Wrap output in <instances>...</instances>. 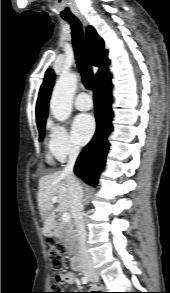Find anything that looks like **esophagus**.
Instances as JSON below:
<instances>
[{"label": "esophagus", "mask_w": 170, "mask_h": 293, "mask_svg": "<svg viewBox=\"0 0 170 293\" xmlns=\"http://www.w3.org/2000/svg\"><path fill=\"white\" fill-rule=\"evenodd\" d=\"M79 18L81 19V21H82L84 24H86V20L84 19L83 16H79Z\"/></svg>", "instance_id": "esophagus-1"}]
</instances>
